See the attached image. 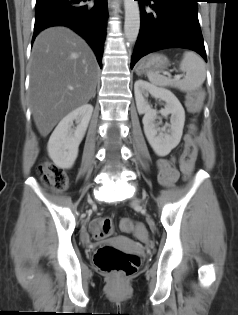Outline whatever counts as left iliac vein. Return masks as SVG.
I'll return each instance as SVG.
<instances>
[{
	"mask_svg": "<svg viewBox=\"0 0 238 315\" xmlns=\"http://www.w3.org/2000/svg\"><path fill=\"white\" fill-rule=\"evenodd\" d=\"M133 204H135V205L138 204V201H137V200H134V201H133Z\"/></svg>",
	"mask_w": 238,
	"mask_h": 315,
	"instance_id": "left-iliac-vein-1",
	"label": "left iliac vein"
}]
</instances>
